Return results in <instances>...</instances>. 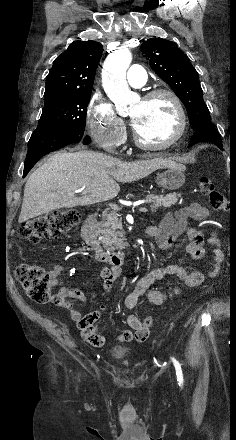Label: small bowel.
<instances>
[{
    "label": "small bowel",
    "mask_w": 236,
    "mask_h": 440,
    "mask_svg": "<svg viewBox=\"0 0 236 440\" xmlns=\"http://www.w3.org/2000/svg\"><path fill=\"white\" fill-rule=\"evenodd\" d=\"M208 217V209L199 203H191L175 212L169 213L158 226L150 227L149 235L154 238L159 248L166 250L180 244L185 251L196 260H201L206 255L205 240L202 233L188 224L189 218L203 221ZM212 253V261L206 272L189 270L180 265H167L156 267L143 275L137 282L134 290L126 297L125 307L133 309L140 297L146 295L149 303L162 305L183 294L185 289L201 285L207 278L215 277L224 260V254L220 247L218 236L214 233L209 240ZM52 275L58 276L61 272L59 266L50 271ZM119 268L103 269L100 275L101 284L108 295L119 277ZM166 276H175L180 281V286L168 292L151 289L152 284L162 280ZM60 302L59 307L66 309L70 317L77 322V328L81 331L82 338L89 344L101 346L104 338L99 334V323L96 321L106 307L107 300L96 311L85 316L75 308L70 299L78 300L81 303L87 302V296L79 288L62 286L56 295ZM129 329L123 330L118 336L120 342H128L134 339H147L150 332V325L143 324L137 315L130 314L127 317Z\"/></svg>",
    "instance_id": "obj_1"
}]
</instances>
